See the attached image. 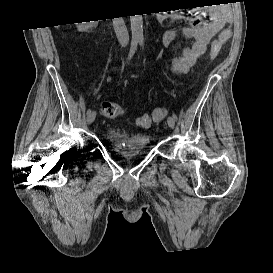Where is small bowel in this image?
Instances as JSON below:
<instances>
[{
	"mask_svg": "<svg viewBox=\"0 0 273 273\" xmlns=\"http://www.w3.org/2000/svg\"><path fill=\"white\" fill-rule=\"evenodd\" d=\"M166 17L182 19L186 22L184 27L166 32L161 39L166 46L176 42L183 43L181 53L172 66L174 74L187 73L205 54L207 45L213 38L216 39V42L223 44L230 36V31L224 29V26L230 21L225 10L202 9L186 14L172 12Z\"/></svg>",
	"mask_w": 273,
	"mask_h": 273,
	"instance_id": "c3829d8e",
	"label": "small bowel"
}]
</instances>
